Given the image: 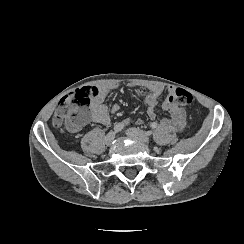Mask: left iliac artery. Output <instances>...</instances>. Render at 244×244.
<instances>
[{"label":"left iliac artery","instance_id":"left-iliac-artery-1","mask_svg":"<svg viewBox=\"0 0 244 244\" xmlns=\"http://www.w3.org/2000/svg\"><path fill=\"white\" fill-rule=\"evenodd\" d=\"M158 127V124L156 123V122H153L152 124H151V128L152 129H156Z\"/></svg>","mask_w":244,"mask_h":244}]
</instances>
